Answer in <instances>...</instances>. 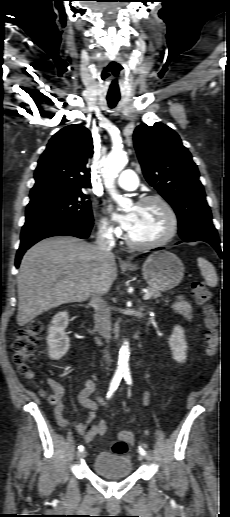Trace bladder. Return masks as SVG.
Here are the masks:
<instances>
[{
    "instance_id": "obj_1",
    "label": "bladder",
    "mask_w": 230,
    "mask_h": 517,
    "mask_svg": "<svg viewBox=\"0 0 230 517\" xmlns=\"http://www.w3.org/2000/svg\"><path fill=\"white\" fill-rule=\"evenodd\" d=\"M92 470L104 478L117 479L130 476L133 468L129 457L101 452L95 457Z\"/></svg>"
}]
</instances>
